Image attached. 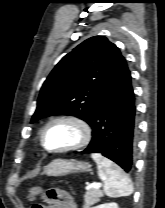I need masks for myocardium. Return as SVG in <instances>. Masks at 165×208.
Returning <instances> with one entry per match:
<instances>
[{"label": "myocardium", "instance_id": "f54148a6", "mask_svg": "<svg viewBox=\"0 0 165 208\" xmlns=\"http://www.w3.org/2000/svg\"><path fill=\"white\" fill-rule=\"evenodd\" d=\"M60 122L70 123L73 126H75L79 131L80 137L77 142L71 145L58 148V149H50L45 145V142H44L45 133L50 126L56 123H60ZM91 139H92V128L90 124L82 118H79L76 116H69V115L58 116V117L51 119L45 124V126L43 127L40 133V144L42 148L49 153H62V152L78 150L87 146L90 143Z\"/></svg>", "mask_w": 165, "mask_h": 208}]
</instances>
